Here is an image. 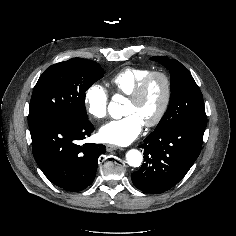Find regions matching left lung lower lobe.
Here are the masks:
<instances>
[{"label": "left lung lower lobe", "mask_w": 236, "mask_h": 236, "mask_svg": "<svg viewBox=\"0 0 236 236\" xmlns=\"http://www.w3.org/2000/svg\"><path fill=\"white\" fill-rule=\"evenodd\" d=\"M204 131L205 127L177 125L152 132L140 145L145 162L132 173L133 184L151 194L171 189L199 156Z\"/></svg>", "instance_id": "left-lung-lower-lobe-1"}]
</instances>
